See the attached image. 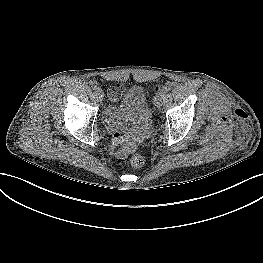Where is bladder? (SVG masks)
Returning a JSON list of instances; mask_svg holds the SVG:
<instances>
[{"label": "bladder", "instance_id": "obj_1", "mask_svg": "<svg viewBox=\"0 0 263 263\" xmlns=\"http://www.w3.org/2000/svg\"><path fill=\"white\" fill-rule=\"evenodd\" d=\"M107 116L116 131L139 136L147 132L151 121L145 98L135 90L113 101Z\"/></svg>", "mask_w": 263, "mask_h": 263}]
</instances>
